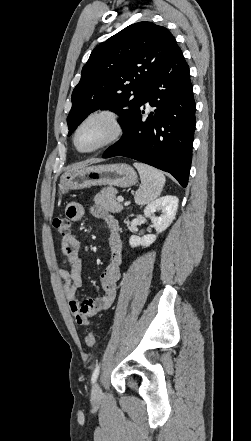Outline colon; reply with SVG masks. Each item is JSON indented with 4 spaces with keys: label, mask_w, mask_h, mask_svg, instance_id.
<instances>
[{
    "label": "colon",
    "mask_w": 251,
    "mask_h": 441,
    "mask_svg": "<svg viewBox=\"0 0 251 441\" xmlns=\"http://www.w3.org/2000/svg\"><path fill=\"white\" fill-rule=\"evenodd\" d=\"M54 230L61 236V238H69L71 232V222L69 218L66 217H56L53 220ZM96 335L94 332H89L85 337V343L87 346L92 347L95 344Z\"/></svg>",
    "instance_id": "colon-1"
}]
</instances>
